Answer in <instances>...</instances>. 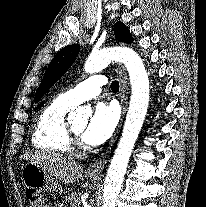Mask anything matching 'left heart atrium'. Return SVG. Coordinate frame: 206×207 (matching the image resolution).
I'll return each mask as SVG.
<instances>
[{
	"label": "left heart atrium",
	"mask_w": 206,
	"mask_h": 207,
	"mask_svg": "<svg viewBox=\"0 0 206 207\" xmlns=\"http://www.w3.org/2000/svg\"><path fill=\"white\" fill-rule=\"evenodd\" d=\"M118 120L119 111L114 104H97L83 133L84 141L91 145L102 144L112 135Z\"/></svg>",
	"instance_id": "1"
}]
</instances>
